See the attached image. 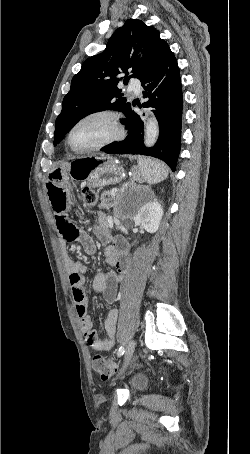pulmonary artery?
Listing matches in <instances>:
<instances>
[{"instance_id": "obj_1", "label": "pulmonary artery", "mask_w": 250, "mask_h": 454, "mask_svg": "<svg viewBox=\"0 0 250 454\" xmlns=\"http://www.w3.org/2000/svg\"><path fill=\"white\" fill-rule=\"evenodd\" d=\"M129 90H132L136 93H139L140 92V82L139 80L133 78L130 80L129 82Z\"/></svg>"}]
</instances>
